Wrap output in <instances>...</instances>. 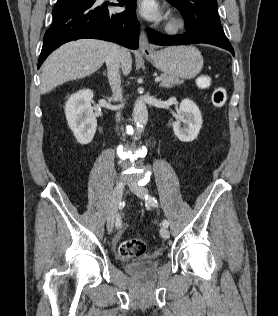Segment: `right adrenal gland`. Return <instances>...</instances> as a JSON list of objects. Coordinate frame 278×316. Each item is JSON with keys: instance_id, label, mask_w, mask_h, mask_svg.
<instances>
[{"instance_id": "2a0ac1e0", "label": "right adrenal gland", "mask_w": 278, "mask_h": 316, "mask_svg": "<svg viewBox=\"0 0 278 316\" xmlns=\"http://www.w3.org/2000/svg\"><path fill=\"white\" fill-rule=\"evenodd\" d=\"M103 75H104V76H106V73H105V72H103Z\"/></svg>"}]
</instances>
